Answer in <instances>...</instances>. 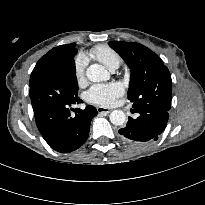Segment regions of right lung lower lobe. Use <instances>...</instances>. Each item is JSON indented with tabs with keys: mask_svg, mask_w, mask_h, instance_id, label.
Wrapping results in <instances>:
<instances>
[{
	"mask_svg": "<svg viewBox=\"0 0 205 205\" xmlns=\"http://www.w3.org/2000/svg\"><path fill=\"white\" fill-rule=\"evenodd\" d=\"M70 61L30 84L36 125L50 147L61 153L74 151L85 143L90 122L97 115L91 105L84 110L70 108L82 102L78 97V84L67 69ZM71 111H75V115H71Z\"/></svg>",
	"mask_w": 205,
	"mask_h": 205,
	"instance_id": "1",
	"label": "right lung lower lobe"
}]
</instances>
